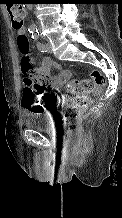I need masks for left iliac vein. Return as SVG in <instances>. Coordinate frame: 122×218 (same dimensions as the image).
<instances>
[{
  "mask_svg": "<svg viewBox=\"0 0 122 218\" xmlns=\"http://www.w3.org/2000/svg\"><path fill=\"white\" fill-rule=\"evenodd\" d=\"M47 51L51 52L52 51V46L50 43H46Z\"/></svg>",
  "mask_w": 122,
  "mask_h": 218,
  "instance_id": "obj_1",
  "label": "left iliac vein"
}]
</instances>
